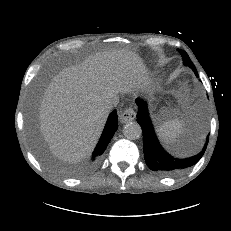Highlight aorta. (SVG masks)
I'll use <instances>...</instances> for the list:
<instances>
[{
    "label": "aorta",
    "mask_w": 231,
    "mask_h": 231,
    "mask_svg": "<svg viewBox=\"0 0 231 231\" xmlns=\"http://www.w3.org/2000/svg\"><path fill=\"white\" fill-rule=\"evenodd\" d=\"M123 134L129 140H136L142 134L141 126L137 122H129L124 126Z\"/></svg>",
    "instance_id": "obj_1"
}]
</instances>
